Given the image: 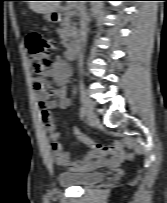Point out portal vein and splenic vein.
Returning <instances> with one entry per match:
<instances>
[{"label":"portal vein and splenic vein","mask_w":167,"mask_h":203,"mask_svg":"<svg viewBox=\"0 0 167 203\" xmlns=\"http://www.w3.org/2000/svg\"><path fill=\"white\" fill-rule=\"evenodd\" d=\"M73 5L72 4H68V8L72 9Z\"/></svg>","instance_id":"obj_1"}]
</instances>
